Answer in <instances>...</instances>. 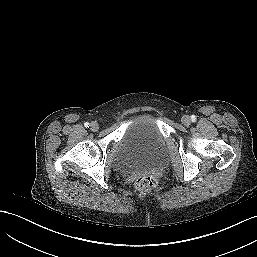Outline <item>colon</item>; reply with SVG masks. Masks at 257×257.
<instances>
[{
    "label": "colon",
    "instance_id": "colon-1",
    "mask_svg": "<svg viewBox=\"0 0 257 257\" xmlns=\"http://www.w3.org/2000/svg\"><path fill=\"white\" fill-rule=\"evenodd\" d=\"M156 185V180L151 176H140L136 181V188L141 191L151 190Z\"/></svg>",
    "mask_w": 257,
    "mask_h": 257
}]
</instances>
